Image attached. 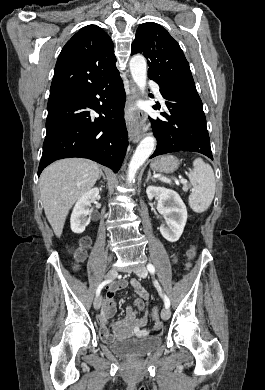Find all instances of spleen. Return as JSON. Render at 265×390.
I'll return each mask as SVG.
<instances>
[{
	"label": "spleen",
	"instance_id": "1",
	"mask_svg": "<svg viewBox=\"0 0 265 390\" xmlns=\"http://www.w3.org/2000/svg\"><path fill=\"white\" fill-rule=\"evenodd\" d=\"M193 186L189 195V205L196 213L206 211L211 205L215 195V176L212 167L201 158L193 161V168L188 174Z\"/></svg>",
	"mask_w": 265,
	"mask_h": 390
}]
</instances>
